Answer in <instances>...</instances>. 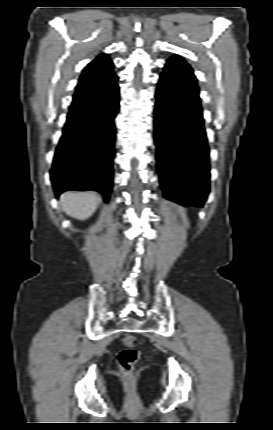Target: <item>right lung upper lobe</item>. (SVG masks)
<instances>
[{
    "label": "right lung upper lobe",
    "instance_id": "1",
    "mask_svg": "<svg viewBox=\"0 0 273 430\" xmlns=\"http://www.w3.org/2000/svg\"><path fill=\"white\" fill-rule=\"evenodd\" d=\"M113 68V62L107 54H100L94 61L89 63L83 70L79 79L72 105L86 99L90 94V88L93 85L98 84L109 77L115 76Z\"/></svg>",
    "mask_w": 273,
    "mask_h": 430
}]
</instances>
